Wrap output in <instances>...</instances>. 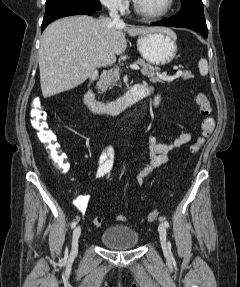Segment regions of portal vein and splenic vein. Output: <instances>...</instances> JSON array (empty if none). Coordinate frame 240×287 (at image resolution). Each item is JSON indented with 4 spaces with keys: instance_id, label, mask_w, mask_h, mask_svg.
<instances>
[{
    "instance_id": "1",
    "label": "portal vein and splenic vein",
    "mask_w": 240,
    "mask_h": 287,
    "mask_svg": "<svg viewBox=\"0 0 240 287\" xmlns=\"http://www.w3.org/2000/svg\"><path fill=\"white\" fill-rule=\"evenodd\" d=\"M130 68L134 69V70H139L140 69V67L138 65H136V64L130 65ZM181 75H182V70H180V69L176 72V74L174 76H167L166 73L158 74V76L161 79H163V80H173V79H175V78H177V77H179Z\"/></svg>"
}]
</instances>
